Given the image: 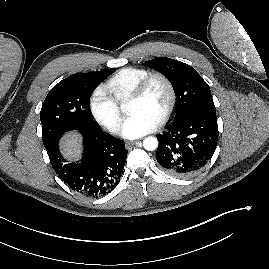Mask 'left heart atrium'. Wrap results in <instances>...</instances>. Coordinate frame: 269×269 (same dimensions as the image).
<instances>
[{
	"mask_svg": "<svg viewBox=\"0 0 269 269\" xmlns=\"http://www.w3.org/2000/svg\"><path fill=\"white\" fill-rule=\"evenodd\" d=\"M157 127V122L142 113L131 114L121 127L124 138L135 139L142 137Z\"/></svg>",
	"mask_w": 269,
	"mask_h": 269,
	"instance_id": "1",
	"label": "left heart atrium"
}]
</instances>
